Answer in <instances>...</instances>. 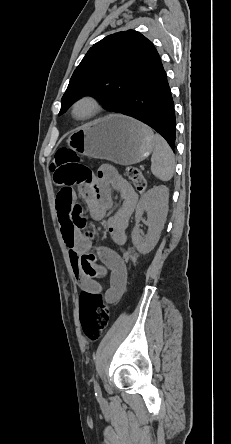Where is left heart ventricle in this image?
<instances>
[{"mask_svg": "<svg viewBox=\"0 0 231 444\" xmlns=\"http://www.w3.org/2000/svg\"><path fill=\"white\" fill-rule=\"evenodd\" d=\"M91 110V107L88 103H81L77 109H76V114L78 116H84L86 114H88Z\"/></svg>", "mask_w": 231, "mask_h": 444, "instance_id": "b2bd125f", "label": "left heart ventricle"}]
</instances>
